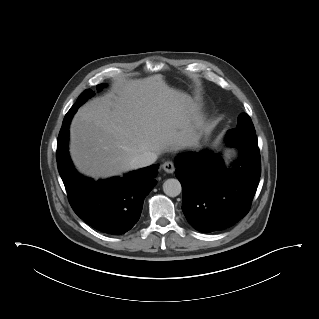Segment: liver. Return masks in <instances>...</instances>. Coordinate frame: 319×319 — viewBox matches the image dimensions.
Wrapping results in <instances>:
<instances>
[{
    "label": "liver",
    "mask_w": 319,
    "mask_h": 319,
    "mask_svg": "<svg viewBox=\"0 0 319 319\" xmlns=\"http://www.w3.org/2000/svg\"><path fill=\"white\" fill-rule=\"evenodd\" d=\"M200 121L187 94L170 87L162 75L120 80L111 92L77 111L70 126V154L87 176L121 175L138 155L194 146Z\"/></svg>",
    "instance_id": "1"
}]
</instances>
